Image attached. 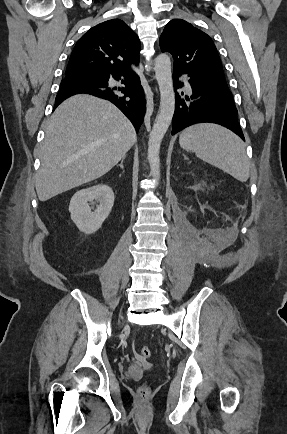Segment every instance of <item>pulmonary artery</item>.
<instances>
[{"label": "pulmonary artery", "instance_id": "obj_1", "mask_svg": "<svg viewBox=\"0 0 287 434\" xmlns=\"http://www.w3.org/2000/svg\"><path fill=\"white\" fill-rule=\"evenodd\" d=\"M186 86H187V88H188V89L190 88V86H189V83H188V82H186Z\"/></svg>", "mask_w": 287, "mask_h": 434}]
</instances>
